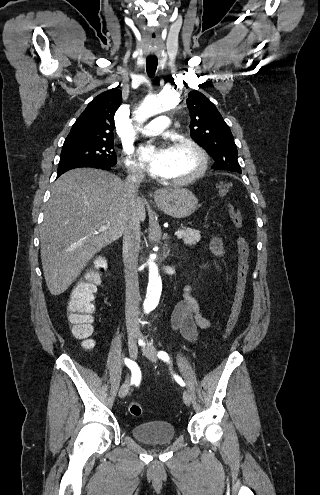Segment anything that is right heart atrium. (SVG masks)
<instances>
[{
	"label": "right heart atrium",
	"mask_w": 320,
	"mask_h": 495,
	"mask_svg": "<svg viewBox=\"0 0 320 495\" xmlns=\"http://www.w3.org/2000/svg\"><path fill=\"white\" fill-rule=\"evenodd\" d=\"M125 166L127 168L128 173L133 177H141L143 175L142 166L136 162L129 153L125 158Z\"/></svg>",
	"instance_id": "right-heart-atrium-1"
}]
</instances>
